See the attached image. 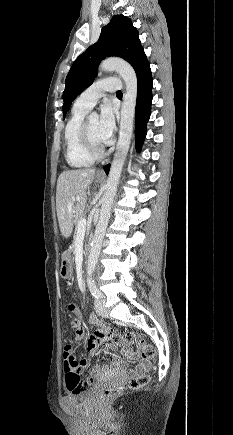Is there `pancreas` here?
<instances>
[{
    "instance_id": "cf45deb5",
    "label": "pancreas",
    "mask_w": 233,
    "mask_h": 435,
    "mask_svg": "<svg viewBox=\"0 0 233 435\" xmlns=\"http://www.w3.org/2000/svg\"><path fill=\"white\" fill-rule=\"evenodd\" d=\"M80 219H83V218L81 217ZM80 219H79V220H80ZM79 220H78V222H79ZM77 224H78V223H77ZM75 234H77V225H76Z\"/></svg>"
}]
</instances>
